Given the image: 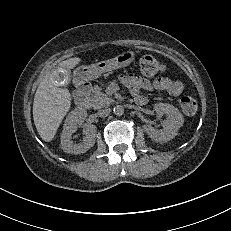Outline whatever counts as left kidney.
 Instances as JSON below:
<instances>
[{
	"instance_id": "1",
	"label": "left kidney",
	"mask_w": 231,
	"mask_h": 231,
	"mask_svg": "<svg viewBox=\"0 0 231 231\" xmlns=\"http://www.w3.org/2000/svg\"><path fill=\"white\" fill-rule=\"evenodd\" d=\"M154 111L159 116L166 115L167 120L163 121V129L158 130L151 125H145L144 131L155 142L170 141L177 135L179 128L183 126V115L176 107L167 103L155 104Z\"/></svg>"
}]
</instances>
